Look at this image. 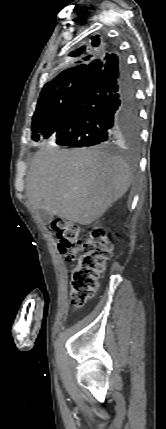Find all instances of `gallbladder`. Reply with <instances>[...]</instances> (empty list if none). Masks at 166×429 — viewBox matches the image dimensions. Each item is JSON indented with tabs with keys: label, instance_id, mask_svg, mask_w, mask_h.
I'll use <instances>...</instances> for the list:
<instances>
[{
	"label": "gallbladder",
	"instance_id": "obj_1",
	"mask_svg": "<svg viewBox=\"0 0 166 429\" xmlns=\"http://www.w3.org/2000/svg\"><path fill=\"white\" fill-rule=\"evenodd\" d=\"M37 211L43 223L48 224L50 222L51 215L44 209H39Z\"/></svg>",
	"mask_w": 166,
	"mask_h": 429
}]
</instances>
